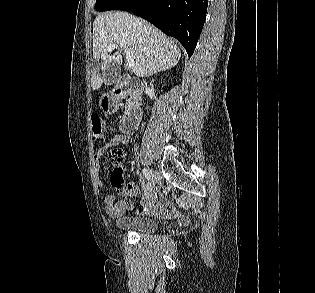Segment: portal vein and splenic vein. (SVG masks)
Here are the masks:
<instances>
[{
  "instance_id": "obj_1",
  "label": "portal vein and splenic vein",
  "mask_w": 315,
  "mask_h": 293,
  "mask_svg": "<svg viewBox=\"0 0 315 293\" xmlns=\"http://www.w3.org/2000/svg\"><path fill=\"white\" fill-rule=\"evenodd\" d=\"M116 47H117V44H116V43H111V44L107 47V49H108L109 51H112V50H114ZM125 54H126V59H127V61H128L129 67H130V68H134V67H135V61H134V59L130 56V54L128 53L127 50H125Z\"/></svg>"
}]
</instances>
